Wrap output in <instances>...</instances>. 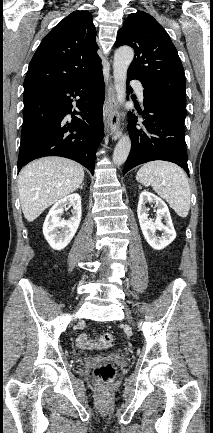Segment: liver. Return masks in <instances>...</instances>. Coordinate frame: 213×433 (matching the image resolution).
Masks as SVG:
<instances>
[{
	"instance_id": "liver-1",
	"label": "liver",
	"mask_w": 213,
	"mask_h": 433,
	"mask_svg": "<svg viewBox=\"0 0 213 433\" xmlns=\"http://www.w3.org/2000/svg\"><path fill=\"white\" fill-rule=\"evenodd\" d=\"M83 180V167L67 158L44 157L26 165L19 174L18 190L27 221L76 191Z\"/></svg>"
}]
</instances>
